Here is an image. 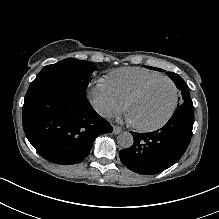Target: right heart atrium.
<instances>
[{
  "instance_id": "1",
  "label": "right heart atrium",
  "mask_w": 219,
  "mask_h": 219,
  "mask_svg": "<svg viewBox=\"0 0 219 219\" xmlns=\"http://www.w3.org/2000/svg\"><path fill=\"white\" fill-rule=\"evenodd\" d=\"M88 98L95 110L105 118H110L123 110V103L115 97L104 80L89 88Z\"/></svg>"
}]
</instances>
